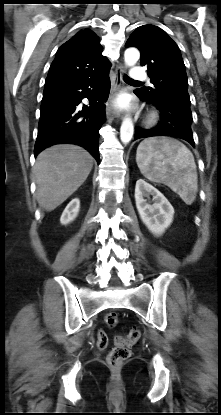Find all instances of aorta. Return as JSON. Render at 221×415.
Masks as SVG:
<instances>
[{
	"label": "aorta",
	"instance_id": "aorta-1",
	"mask_svg": "<svg viewBox=\"0 0 221 415\" xmlns=\"http://www.w3.org/2000/svg\"><path fill=\"white\" fill-rule=\"evenodd\" d=\"M140 57V53L136 48H128L124 53L125 64L133 66L136 64ZM134 125L131 118H125L120 128V139L123 143H128L133 136Z\"/></svg>",
	"mask_w": 221,
	"mask_h": 415
}]
</instances>
